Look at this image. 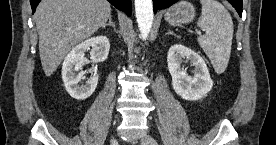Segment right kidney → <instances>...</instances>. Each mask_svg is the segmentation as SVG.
Here are the masks:
<instances>
[{
	"label": "right kidney",
	"instance_id": "1",
	"mask_svg": "<svg viewBox=\"0 0 276 145\" xmlns=\"http://www.w3.org/2000/svg\"><path fill=\"white\" fill-rule=\"evenodd\" d=\"M91 61L93 63L103 62L107 59L110 49L109 39L106 36H96L78 44L65 57L62 65V79L69 95L76 100H85L95 91L99 75L97 68L91 69L93 76L88 79L85 85L79 86L84 72H75L81 70V67L88 63L85 57V51L90 49Z\"/></svg>",
	"mask_w": 276,
	"mask_h": 145
}]
</instances>
